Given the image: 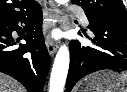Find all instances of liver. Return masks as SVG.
Returning <instances> with one entry per match:
<instances>
[{"label":"liver","instance_id":"1","mask_svg":"<svg viewBox=\"0 0 127 92\" xmlns=\"http://www.w3.org/2000/svg\"><path fill=\"white\" fill-rule=\"evenodd\" d=\"M0 92H26V90L12 77L0 73Z\"/></svg>","mask_w":127,"mask_h":92}]
</instances>
